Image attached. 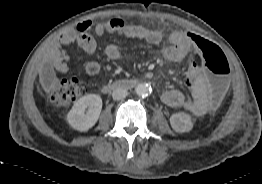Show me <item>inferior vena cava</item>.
Listing matches in <instances>:
<instances>
[{
    "label": "inferior vena cava",
    "mask_w": 262,
    "mask_h": 184,
    "mask_svg": "<svg viewBox=\"0 0 262 184\" xmlns=\"http://www.w3.org/2000/svg\"><path fill=\"white\" fill-rule=\"evenodd\" d=\"M127 95H128V91L124 88H121V87L116 88L112 93V97H113L114 100H122Z\"/></svg>",
    "instance_id": "1"
}]
</instances>
